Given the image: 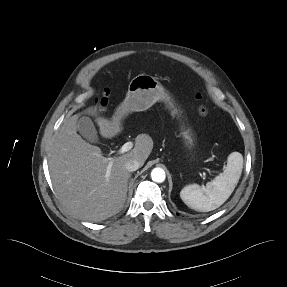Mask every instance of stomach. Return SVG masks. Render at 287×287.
<instances>
[{
    "mask_svg": "<svg viewBox=\"0 0 287 287\" xmlns=\"http://www.w3.org/2000/svg\"><path fill=\"white\" fill-rule=\"evenodd\" d=\"M159 100L167 104L172 116L180 117L182 111L175 106L173 99L162 84L151 75L139 74L130 81L126 97L117 108L113 119L120 120L128 113L147 110ZM182 130L185 144L191 147L194 141L191 130L183 126Z\"/></svg>",
    "mask_w": 287,
    "mask_h": 287,
    "instance_id": "1",
    "label": "stomach"
}]
</instances>
